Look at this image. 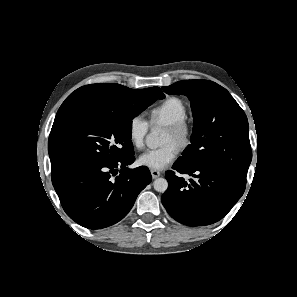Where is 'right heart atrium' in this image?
<instances>
[{
  "mask_svg": "<svg viewBox=\"0 0 297 297\" xmlns=\"http://www.w3.org/2000/svg\"><path fill=\"white\" fill-rule=\"evenodd\" d=\"M148 129V122L140 115L133 116L129 120L127 126L128 137L131 144L137 149L143 148Z\"/></svg>",
  "mask_w": 297,
  "mask_h": 297,
  "instance_id": "1",
  "label": "right heart atrium"
}]
</instances>
